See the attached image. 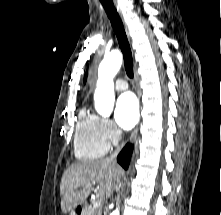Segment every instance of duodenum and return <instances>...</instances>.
Masks as SVG:
<instances>
[{
  "instance_id": "410a0bca",
  "label": "duodenum",
  "mask_w": 221,
  "mask_h": 215,
  "mask_svg": "<svg viewBox=\"0 0 221 215\" xmlns=\"http://www.w3.org/2000/svg\"><path fill=\"white\" fill-rule=\"evenodd\" d=\"M76 212H77V213H80V212H81V208L78 207V208L76 209Z\"/></svg>"
}]
</instances>
